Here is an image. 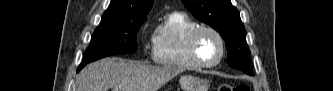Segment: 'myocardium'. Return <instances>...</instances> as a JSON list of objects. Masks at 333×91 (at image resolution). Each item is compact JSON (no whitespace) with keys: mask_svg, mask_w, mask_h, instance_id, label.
I'll return each mask as SVG.
<instances>
[{"mask_svg":"<svg viewBox=\"0 0 333 91\" xmlns=\"http://www.w3.org/2000/svg\"><path fill=\"white\" fill-rule=\"evenodd\" d=\"M203 32H210L212 33L218 40L220 44V54L216 61L207 63L201 60V58L198 55L197 45H198V39L200 35ZM188 46H189V52L192 60L197 64L200 68H214L218 66L224 59L225 53H226V45L225 40L222 36V34L215 29L212 26L209 25H200L197 26L194 30L191 31L188 37Z\"/></svg>","mask_w":333,"mask_h":91,"instance_id":"obj_1","label":"myocardium"}]
</instances>
